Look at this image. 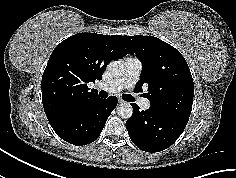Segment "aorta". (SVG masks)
<instances>
[{
	"mask_svg": "<svg viewBox=\"0 0 236 178\" xmlns=\"http://www.w3.org/2000/svg\"><path fill=\"white\" fill-rule=\"evenodd\" d=\"M107 70L113 77H120L124 73V66L120 61H111L107 66ZM117 114L124 119L130 118L133 114L131 104L129 102L119 104Z\"/></svg>",
	"mask_w": 236,
	"mask_h": 178,
	"instance_id": "obj_1",
	"label": "aorta"
}]
</instances>
